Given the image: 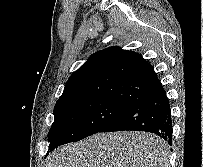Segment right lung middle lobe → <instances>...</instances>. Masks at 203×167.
Instances as JSON below:
<instances>
[{
  "label": "right lung middle lobe",
  "mask_w": 203,
  "mask_h": 167,
  "mask_svg": "<svg viewBox=\"0 0 203 167\" xmlns=\"http://www.w3.org/2000/svg\"><path fill=\"white\" fill-rule=\"evenodd\" d=\"M128 106L106 98H82L55 106L48 140L66 144L98 133Z\"/></svg>",
  "instance_id": "right-lung-middle-lobe-1"
}]
</instances>
